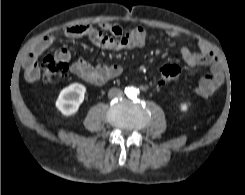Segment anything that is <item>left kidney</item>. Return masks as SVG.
I'll use <instances>...</instances> for the list:
<instances>
[{"label": "left kidney", "mask_w": 245, "mask_h": 195, "mask_svg": "<svg viewBox=\"0 0 245 195\" xmlns=\"http://www.w3.org/2000/svg\"><path fill=\"white\" fill-rule=\"evenodd\" d=\"M188 108H189V105L187 103H181L180 104L181 111L185 112L188 110Z\"/></svg>", "instance_id": "5707ae66"}]
</instances>
